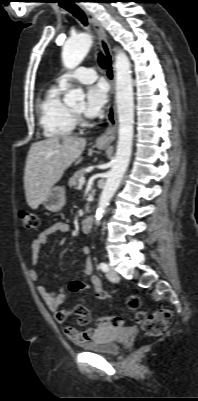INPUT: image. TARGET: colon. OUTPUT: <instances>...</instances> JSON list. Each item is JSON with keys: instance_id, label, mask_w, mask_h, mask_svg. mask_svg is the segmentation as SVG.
I'll return each instance as SVG.
<instances>
[{"instance_id": "colon-1", "label": "colon", "mask_w": 198, "mask_h": 401, "mask_svg": "<svg viewBox=\"0 0 198 401\" xmlns=\"http://www.w3.org/2000/svg\"><path fill=\"white\" fill-rule=\"evenodd\" d=\"M22 225L25 229L35 230L39 227V220L35 213L22 210L19 213ZM77 286L74 282L70 283L69 289L76 290ZM126 306L129 310L135 311L134 320L143 324V333L148 337H156L161 335L172 322V313L169 309L160 308L151 314L140 310L141 300L138 295H130L126 299ZM75 314L79 316L81 324H86L89 321L88 310L82 306L75 308ZM98 323L104 327H121L125 321L121 317H101Z\"/></svg>"}]
</instances>
